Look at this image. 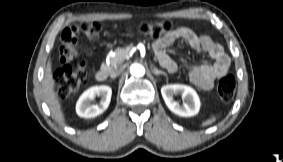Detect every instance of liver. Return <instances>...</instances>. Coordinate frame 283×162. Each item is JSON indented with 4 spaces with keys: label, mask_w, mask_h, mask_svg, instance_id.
I'll return each mask as SVG.
<instances>
[{
    "label": "liver",
    "mask_w": 283,
    "mask_h": 162,
    "mask_svg": "<svg viewBox=\"0 0 283 162\" xmlns=\"http://www.w3.org/2000/svg\"><path fill=\"white\" fill-rule=\"evenodd\" d=\"M55 81L52 75L51 61L48 60L43 78V94L52 116L61 124H65V118L61 104L55 94Z\"/></svg>",
    "instance_id": "obj_1"
}]
</instances>
